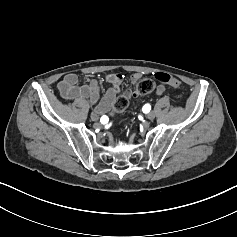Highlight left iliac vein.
<instances>
[{"label": "left iliac vein", "mask_w": 237, "mask_h": 237, "mask_svg": "<svg viewBox=\"0 0 237 237\" xmlns=\"http://www.w3.org/2000/svg\"><path fill=\"white\" fill-rule=\"evenodd\" d=\"M149 120H153L155 118V114L153 112H149L146 116Z\"/></svg>", "instance_id": "1"}]
</instances>
